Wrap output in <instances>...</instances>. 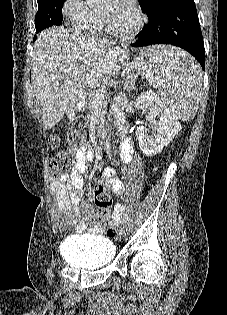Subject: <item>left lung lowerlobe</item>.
<instances>
[{
    "mask_svg": "<svg viewBox=\"0 0 227 315\" xmlns=\"http://www.w3.org/2000/svg\"><path fill=\"white\" fill-rule=\"evenodd\" d=\"M133 47L170 44L191 53L205 70V49L194 0H177L152 15Z\"/></svg>",
    "mask_w": 227,
    "mask_h": 315,
    "instance_id": "1",
    "label": "left lung lower lobe"
}]
</instances>
